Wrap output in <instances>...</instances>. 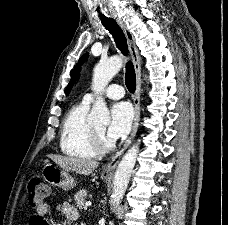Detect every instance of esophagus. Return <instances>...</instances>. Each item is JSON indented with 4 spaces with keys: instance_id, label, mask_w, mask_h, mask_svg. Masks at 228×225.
Returning <instances> with one entry per match:
<instances>
[{
    "instance_id": "obj_1",
    "label": "esophagus",
    "mask_w": 228,
    "mask_h": 225,
    "mask_svg": "<svg viewBox=\"0 0 228 225\" xmlns=\"http://www.w3.org/2000/svg\"><path fill=\"white\" fill-rule=\"evenodd\" d=\"M117 24L120 26L122 31L124 32V35L127 39V44L129 51L132 56V60L134 63L135 68V74H136V90L135 94L133 96V102H134V110H135V118L133 121L132 131L130 133V136L126 140L123 148L114 155L111 160L104 165L102 169V176L104 178H111L114 175V170L122 157L125 150L128 148L132 140L135 138V135L137 133L138 125H139V119H140V96H141V59L139 55V50L137 48V45L135 43V38L133 34L128 30L126 24L120 19L118 16H114Z\"/></svg>"
}]
</instances>
